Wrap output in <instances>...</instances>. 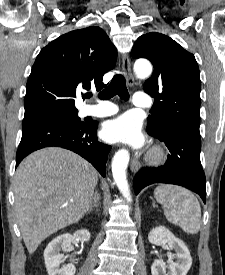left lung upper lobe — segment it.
I'll return each mask as SVG.
<instances>
[{"mask_svg": "<svg viewBox=\"0 0 225 275\" xmlns=\"http://www.w3.org/2000/svg\"><path fill=\"white\" fill-rule=\"evenodd\" d=\"M131 54L154 66L144 83V91L155 98V113L148 117L146 130L158 135L170 130L200 134L201 81L194 55L156 32L139 37Z\"/></svg>", "mask_w": 225, "mask_h": 275, "instance_id": "1", "label": "left lung upper lobe"}]
</instances>
